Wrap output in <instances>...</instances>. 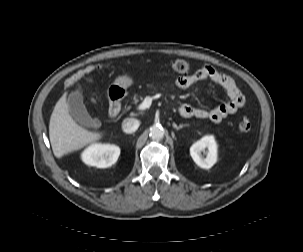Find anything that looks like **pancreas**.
I'll return each mask as SVG.
<instances>
[{
    "mask_svg": "<svg viewBox=\"0 0 303 252\" xmlns=\"http://www.w3.org/2000/svg\"><path fill=\"white\" fill-rule=\"evenodd\" d=\"M142 97H138L137 95H134L133 97V103L137 104L139 102V100H142Z\"/></svg>",
    "mask_w": 303,
    "mask_h": 252,
    "instance_id": "cf45deb5",
    "label": "pancreas"
}]
</instances>
